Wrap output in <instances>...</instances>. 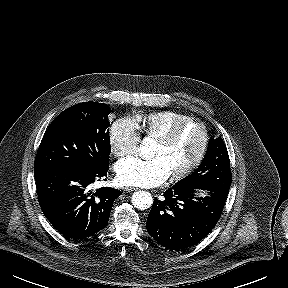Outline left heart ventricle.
<instances>
[{
	"label": "left heart ventricle",
	"mask_w": 288,
	"mask_h": 288,
	"mask_svg": "<svg viewBox=\"0 0 288 288\" xmlns=\"http://www.w3.org/2000/svg\"><path fill=\"white\" fill-rule=\"evenodd\" d=\"M202 144V131L196 124L184 127L169 144L155 142L152 156H159L165 161L170 173H175L191 163Z\"/></svg>",
	"instance_id": "left-heart-ventricle-1"
}]
</instances>
